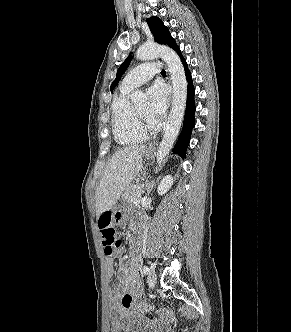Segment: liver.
I'll use <instances>...</instances> for the list:
<instances>
[{
  "instance_id": "liver-1",
  "label": "liver",
  "mask_w": 291,
  "mask_h": 332,
  "mask_svg": "<svg viewBox=\"0 0 291 332\" xmlns=\"http://www.w3.org/2000/svg\"><path fill=\"white\" fill-rule=\"evenodd\" d=\"M146 149L144 145L124 147L108 161L95 194L97 218L113 208L123 191L137 177Z\"/></svg>"
}]
</instances>
